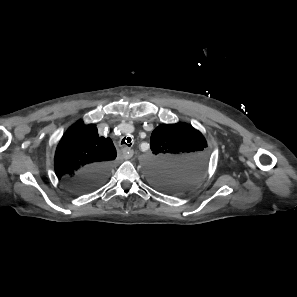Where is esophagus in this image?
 <instances>
[{"label": "esophagus", "instance_id": "esophagus-1", "mask_svg": "<svg viewBox=\"0 0 297 297\" xmlns=\"http://www.w3.org/2000/svg\"><path fill=\"white\" fill-rule=\"evenodd\" d=\"M122 154L125 159H130L133 156L134 151L128 147H123Z\"/></svg>", "mask_w": 297, "mask_h": 297}]
</instances>
